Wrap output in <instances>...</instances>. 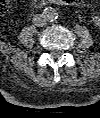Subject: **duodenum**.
I'll return each instance as SVG.
<instances>
[{"instance_id":"duodenum-1","label":"duodenum","mask_w":100,"mask_h":118,"mask_svg":"<svg viewBox=\"0 0 100 118\" xmlns=\"http://www.w3.org/2000/svg\"><path fill=\"white\" fill-rule=\"evenodd\" d=\"M45 3L59 5V4H65L66 0H45Z\"/></svg>"}]
</instances>
